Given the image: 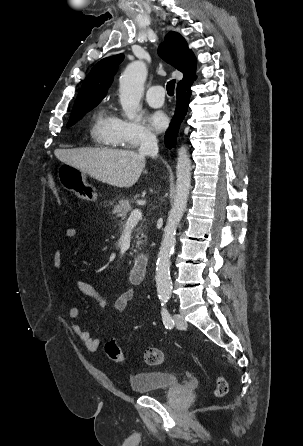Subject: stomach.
I'll return each mask as SVG.
<instances>
[{
    "instance_id": "1",
    "label": "stomach",
    "mask_w": 303,
    "mask_h": 446,
    "mask_svg": "<svg viewBox=\"0 0 303 446\" xmlns=\"http://www.w3.org/2000/svg\"><path fill=\"white\" fill-rule=\"evenodd\" d=\"M57 176L62 187L74 192L79 199L85 201L97 199L96 189L87 183L86 173L80 169L63 163L58 168Z\"/></svg>"
}]
</instances>
